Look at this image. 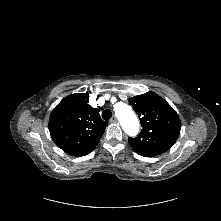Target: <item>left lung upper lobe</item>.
Instances as JSON below:
<instances>
[{"label": "left lung upper lobe", "instance_id": "left-lung-upper-lobe-1", "mask_svg": "<svg viewBox=\"0 0 221 221\" xmlns=\"http://www.w3.org/2000/svg\"><path fill=\"white\" fill-rule=\"evenodd\" d=\"M129 104L138 115L142 127L136 138H129L132 149L145 157H153L169 150L181 129L174 109L154 92L132 97Z\"/></svg>", "mask_w": 221, "mask_h": 221}]
</instances>
